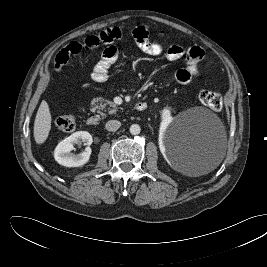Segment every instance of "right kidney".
I'll use <instances>...</instances> for the list:
<instances>
[{
	"label": "right kidney",
	"instance_id": "ca27d5eb",
	"mask_svg": "<svg viewBox=\"0 0 267 267\" xmlns=\"http://www.w3.org/2000/svg\"><path fill=\"white\" fill-rule=\"evenodd\" d=\"M83 142L88 145L85 151L80 154L70 153L74 149V144ZM93 142L92 136L87 131H78L62 140L55 148L54 158L62 166L65 167H80L86 164L91 155V148L89 147Z\"/></svg>",
	"mask_w": 267,
	"mask_h": 267
}]
</instances>
